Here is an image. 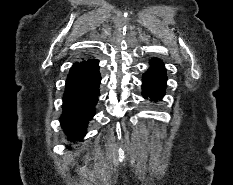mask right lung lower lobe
I'll list each match as a JSON object with an SVG mask.
<instances>
[{
  "label": "right lung lower lobe",
  "mask_w": 233,
  "mask_h": 185,
  "mask_svg": "<svg viewBox=\"0 0 233 185\" xmlns=\"http://www.w3.org/2000/svg\"><path fill=\"white\" fill-rule=\"evenodd\" d=\"M100 83L98 60L76 62L70 69L60 118L68 139L82 140L86 135L87 125L95 115Z\"/></svg>",
  "instance_id": "98d812e1"
}]
</instances>
